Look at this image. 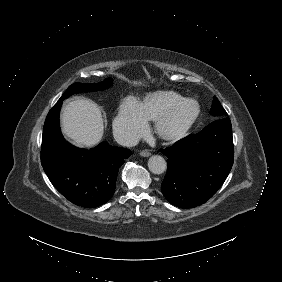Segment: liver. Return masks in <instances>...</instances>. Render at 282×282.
<instances>
[{
	"label": "liver",
	"instance_id": "1",
	"mask_svg": "<svg viewBox=\"0 0 282 282\" xmlns=\"http://www.w3.org/2000/svg\"><path fill=\"white\" fill-rule=\"evenodd\" d=\"M61 126L62 132L78 146L98 144L104 132L100 109L86 99L71 101L63 108Z\"/></svg>",
	"mask_w": 282,
	"mask_h": 282
}]
</instances>
